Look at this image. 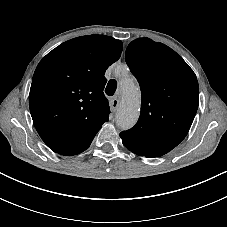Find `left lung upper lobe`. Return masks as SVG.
<instances>
[{
  "mask_svg": "<svg viewBox=\"0 0 227 227\" xmlns=\"http://www.w3.org/2000/svg\"><path fill=\"white\" fill-rule=\"evenodd\" d=\"M125 59L140 84L142 102L137 124L120 137L124 146L162 156L191 127L199 101L196 75L175 51L149 38L133 40Z\"/></svg>",
  "mask_w": 227,
  "mask_h": 227,
  "instance_id": "5c2ea615",
  "label": "left lung upper lobe"
}]
</instances>
